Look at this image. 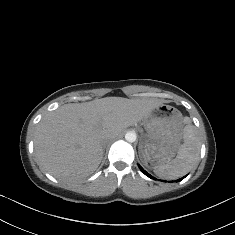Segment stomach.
Instances as JSON below:
<instances>
[{
	"mask_svg": "<svg viewBox=\"0 0 235 235\" xmlns=\"http://www.w3.org/2000/svg\"><path fill=\"white\" fill-rule=\"evenodd\" d=\"M146 134L141 135L139 154L142 163L153 168L171 160L183 138L182 113L175 107L161 104L143 118Z\"/></svg>",
	"mask_w": 235,
	"mask_h": 235,
	"instance_id": "0dacf381",
	"label": "stomach"
}]
</instances>
